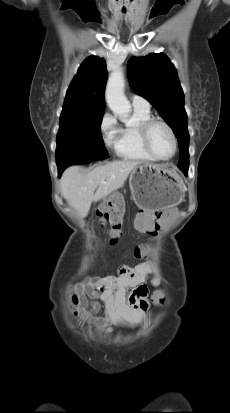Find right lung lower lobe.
Listing matches in <instances>:
<instances>
[{
	"label": "right lung lower lobe",
	"instance_id": "right-lung-lower-lobe-1",
	"mask_svg": "<svg viewBox=\"0 0 230 413\" xmlns=\"http://www.w3.org/2000/svg\"><path fill=\"white\" fill-rule=\"evenodd\" d=\"M63 170H64V169L58 167L59 175H61V173H62Z\"/></svg>",
	"mask_w": 230,
	"mask_h": 413
}]
</instances>
